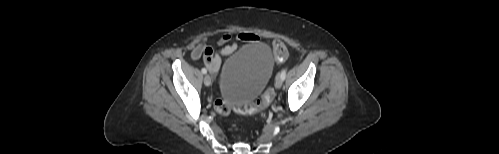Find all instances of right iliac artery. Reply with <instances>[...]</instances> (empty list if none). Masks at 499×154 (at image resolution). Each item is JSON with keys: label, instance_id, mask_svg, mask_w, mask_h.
<instances>
[{"label": "right iliac artery", "instance_id": "right-iliac-artery-1", "mask_svg": "<svg viewBox=\"0 0 499 154\" xmlns=\"http://www.w3.org/2000/svg\"><path fill=\"white\" fill-rule=\"evenodd\" d=\"M201 71H202L203 74L207 73V70L205 68H203Z\"/></svg>", "mask_w": 499, "mask_h": 154}]
</instances>
